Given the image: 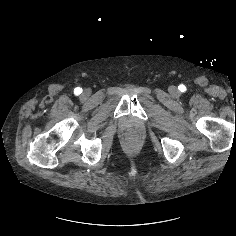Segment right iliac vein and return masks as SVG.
I'll list each match as a JSON object with an SVG mask.
<instances>
[{"label":"right iliac vein","mask_w":236,"mask_h":236,"mask_svg":"<svg viewBox=\"0 0 236 236\" xmlns=\"http://www.w3.org/2000/svg\"><path fill=\"white\" fill-rule=\"evenodd\" d=\"M88 96H89V92H88V91H84V92L82 93V95H81V97H82L83 99H86Z\"/></svg>","instance_id":"obj_1"}]
</instances>
